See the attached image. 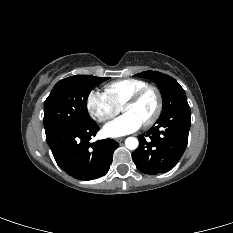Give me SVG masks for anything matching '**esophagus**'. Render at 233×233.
<instances>
[{"label": "esophagus", "mask_w": 233, "mask_h": 233, "mask_svg": "<svg viewBox=\"0 0 233 233\" xmlns=\"http://www.w3.org/2000/svg\"><path fill=\"white\" fill-rule=\"evenodd\" d=\"M123 140H124V138H122V137L116 139V141H117L118 143H121Z\"/></svg>", "instance_id": "34e87169"}]
</instances>
